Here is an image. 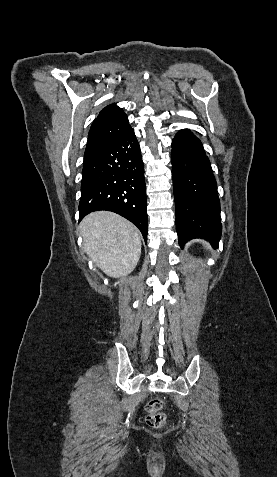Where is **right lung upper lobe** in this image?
<instances>
[{
    "mask_svg": "<svg viewBox=\"0 0 277 477\" xmlns=\"http://www.w3.org/2000/svg\"><path fill=\"white\" fill-rule=\"evenodd\" d=\"M130 128L128 117L122 108L116 104L106 106L92 123L85 155L112 144Z\"/></svg>",
    "mask_w": 277,
    "mask_h": 477,
    "instance_id": "obj_1",
    "label": "right lung upper lobe"
}]
</instances>
